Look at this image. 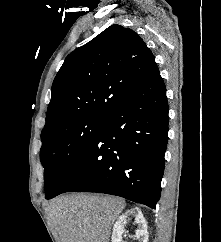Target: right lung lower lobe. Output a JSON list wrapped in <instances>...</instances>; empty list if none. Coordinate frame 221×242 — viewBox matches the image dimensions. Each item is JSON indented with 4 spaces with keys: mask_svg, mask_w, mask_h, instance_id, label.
Instances as JSON below:
<instances>
[{
    "mask_svg": "<svg viewBox=\"0 0 221 242\" xmlns=\"http://www.w3.org/2000/svg\"><path fill=\"white\" fill-rule=\"evenodd\" d=\"M166 87L158 74L103 117L97 133L67 166L49 199L72 191L121 196L155 209L168 142Z\"/></svg>",
    "mask_w": 221,
    "mask_h": 242,
    "instance_id": "98d812e1",
    "label": "right lung lower lobe"
}]
</instances>
